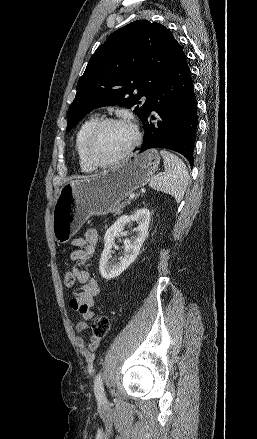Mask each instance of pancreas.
Listing matches in <instances>:
<instances>
[{"instance_id":"cf45deb5","label":"pancreas","mask_w":257,"mask_h":439,"mask_svg":"<svg viewBox=\"0 0 257 439\" xmlns=\"http://www.w3.org/2000/svg\"><path fill=\"white\" fill-rule=\"evenodd\" d=\"M127 204H129V201H124L122 203L117 204L115 207L112 208L111 213L114 216L120 215L122 209L125 208Z\"/></svg>"}]
</instances>
